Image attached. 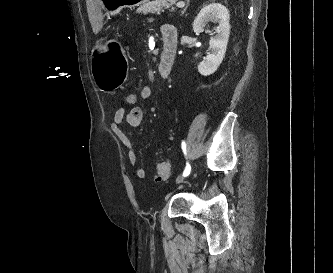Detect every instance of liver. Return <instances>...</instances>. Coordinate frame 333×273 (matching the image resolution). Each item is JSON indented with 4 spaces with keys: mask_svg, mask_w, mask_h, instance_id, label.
Returning <instances> with one entry per match:
<instances>
[{
    "mask_svg": "<svg viewBox=\"0 0 333 273\" xmlns=\"http://www.w3.org/2000/svg\"><path fill=\"white\" fill-rule=\"evenodd\" d=\"M86 6L93 32L97 34L103 27L102 0H86Z\"/></svg>",
    "mask_w": 333,
    "mask_h": 273,
    "instance_id": "1",
    "label": "liver"
}]
</instances>
